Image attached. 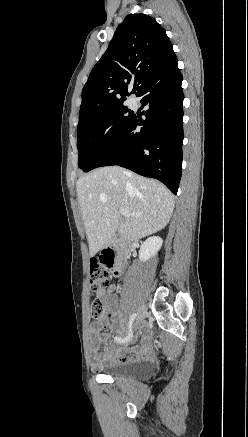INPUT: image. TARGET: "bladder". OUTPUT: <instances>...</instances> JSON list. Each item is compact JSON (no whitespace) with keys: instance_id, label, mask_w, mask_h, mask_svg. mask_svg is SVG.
I'll list each match as a JSON object with an SVG mask.
<instances>
[{"instance_id":"bladder-1","label":"bladder","mask_w":248,"mask_h":437,"mask_svg":"<svg viewBox=\"0 0 248 437\" xmlns=\"http://www.w3.org/2000/svg\"><path fill=\"white\" fill-rule=\"evenodd\" d=\"M103 373L112 378L144 380L151 375L152 366L148 362H131L109 366Z\"/></svg>"}]
</instances>
